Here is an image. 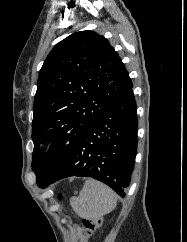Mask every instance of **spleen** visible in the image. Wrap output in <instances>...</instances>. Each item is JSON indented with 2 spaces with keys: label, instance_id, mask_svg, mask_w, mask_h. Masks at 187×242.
<instances>
[{
  "label": "spleen",
  "instance_id": "1",
  "mask_svg": "<svg viewBox=\"0 0 187 242\" xmlns=\"http://www.w3.org/2000/svg\"><path fill=\"white\" fill-rule=\"evenodd\" d=\"M77 215L85 219H94L110 213L117 204V195L105 184L88 179L80 194L70 200Z\"/></svg>",
  "mask_w": 187,
  "mask_h": 242
}]
</instances>
